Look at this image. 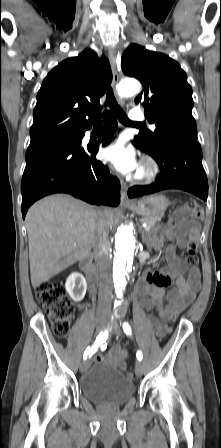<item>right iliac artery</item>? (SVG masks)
<instances>
[{"instance_id": "82829eb1", "label": "right iliac artery", "mask_w": 221, "mask_h": 448, "mask_svg": "<svg viewBox=\"0 0 221 448\" xmlns=\"http://www.w3.org/2000/svg\"><path fill=\"white\" fill-rule=\"evenodd\" d=\"M109 330L106 329L105 331L100 332V334L97 336L95 343L90 347H88L83 355V359H87V357H91L97 349L106 341L108 337Z\"/></svg>"}]
</instances>
